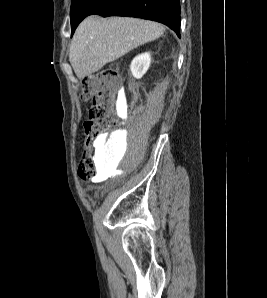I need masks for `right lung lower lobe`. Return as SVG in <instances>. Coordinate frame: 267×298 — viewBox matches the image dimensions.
<instances>
[{
  "mask_svg": "<svg viewBox=\"0 0 267 298\" xmlns=\"http://www.w3.org/2000/svg\"><path fill=\"white\" fill-rule=\"evenodd\" d=\"M91 14L157 21L170 27L180 37L179 0H100L89 15Z\"/></svg>",
  "mask_w": 267,
  "mask_h": 298,
  "instance_id": "1",
  "label": "right lung lower lobe"
}]
</instances>
